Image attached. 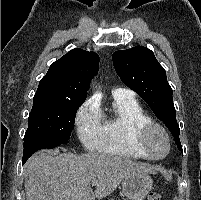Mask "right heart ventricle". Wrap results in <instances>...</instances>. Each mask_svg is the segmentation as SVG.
I'll list each match as a JSON object with an SVG mask.
<instances>
[{
  "label": "right heart ventricle",
  "mask_w": 201,
  "mask_h": 200,
  "mask_svg": "<svg viewBox=\"0 0 201 200\" xmlns=\"http://www.w3.org/2000/svg\"><path fill=\"white\" fill-rule=\"evenodd\" d=\"M100 118L98 151L126 158L146 159L135 143L134 131L137 125L150 118L134 97L113 94L109 114L100 113Z\"/></svg>",
  "instance_id": "1"
}]
</instances>
